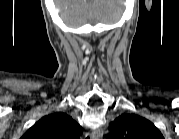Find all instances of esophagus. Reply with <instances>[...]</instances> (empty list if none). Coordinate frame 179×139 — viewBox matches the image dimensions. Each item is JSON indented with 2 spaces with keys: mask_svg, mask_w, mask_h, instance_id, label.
<instances>
[{
  "mask_svg": "<svg viewBox=\"0 0 179 139\" xmlns=\"http://www.w3.org/2000/svg\"><path fill=\"white\" fill-rule=\"evenodd\" d=\"M103 135V132L101 129H95L91 133V138L92 139H100Z\"/></svg>",
  "mask_w": 179,
  "mask_h": 139,
  "instance_id": "esophagus-1",
  "label": "esophagus"
}]
</instances>
